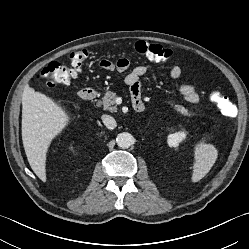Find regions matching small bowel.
Segmentation results:
<instances>
[{
  "mask_svg": "<svg viewBox=\"0 0 249 249\" xmlns=\"http://www.w3.org/2000/svg\"><path fill=\"white\" fill-rule=\"evenodd\" d=\"M129 61L126 58L119 59L116 64L109 60H102L99 66L105 70L117 69L119 72H124L129 68ZM147 72L145 66H137L132 69L126 76V83L130 86L132 98H140L141 95V77ZM182 74V69L179 65H173L170 69V76L173 79H178ZM180 94L185 101L190 104H195L199 101L200 95L194 84H184L179 87Z\"/></svg>",
  "mask_w": 249,
  "mask_h": 249,
  "instance_id": "c3829d8e",
  "label": "small bowel"
}]
</instances>
